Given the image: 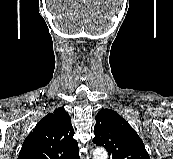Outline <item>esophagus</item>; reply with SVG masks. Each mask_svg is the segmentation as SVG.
<instances>
[{"label":"esophagus","instance_id":"obj_1","mask_svg":"<svg viewBox=\"0 0 173 159\" xmlns=\"http://www.w3.org/2000/svg\"><path fill=\"white\" fill-rule=\"evenodd\" d=\"M85 159H91V156L90 155H87Z\"/></svg>","mask_w":173,"mask_h":159}]
</instances>
